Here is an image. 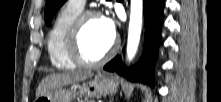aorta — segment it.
Segmentation results:
<instances>
[{"instance_id":"obj_1","label":"aorta","mask_w":221,"mask_h":102,"mask_svg":"<svg viewBox=\"0 0 221 102\" xmlns=\"http://www.w3.org/2000/svg\"><path fill=\"white\" fill-rule=\"evenodd\" d=\"M143 16V0H131L127 40V59L131 61L138 49Z\"/></svg>"}]
</instances>
